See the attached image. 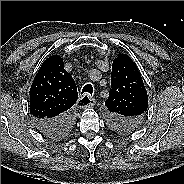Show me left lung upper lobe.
Instances as JSON below:
<instances>
[{"label": "left lung upper lobe", "instance_id": "1", "mask_svg": "<svg viewBox=\"0 0 184 184\" xmlns=\"http://www.w3.org/2000/svg\"><path fill=\"white\" fill-rule=\"evenodd\" d=\"M110 125L119 132L137 129L148 109V95L141 74L127 54L113 61L111 90L105 101Z\"/></svg>", "mask_w": 184, "mask_h": 184}]
</instances>
